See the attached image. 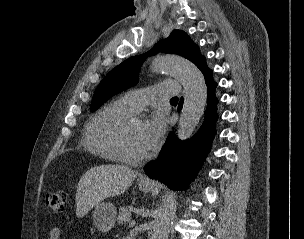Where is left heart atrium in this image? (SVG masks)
<instances>
[{"instance_id": "obj_1", "label": "left heart atrium", "mask_w": 304, "mask_h": 239, "mask_svg": "<svg viewBox=\"0 0 304 239\" xmlns=\"http://www.w3.org/2000/svg\"><path fill=\"white\" fill-rule=\"evenodd\" d=\"M166 129V118L160 111H156L144 124L143 141L147 151L154 149L161 140Z\"/></svg>"}]
</instances>
